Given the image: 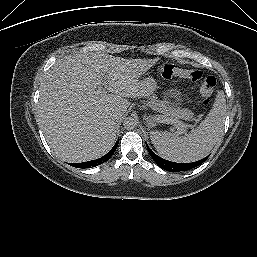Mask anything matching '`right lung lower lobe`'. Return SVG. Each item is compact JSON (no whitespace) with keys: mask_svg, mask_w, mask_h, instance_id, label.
<instances>
[{"mask_svg":"<svg viewBox=\"0 0 257 257\" xmlns=\"http://www.w3.org/2000/svg\"><path fill=\"white\" fill-rule=\"evenodd\" d=\"M118 143L119 142H116L115 146L111 149V151L108 152L106 155H104L103 157H101L99 159L88 161V162H83V163L70 164V165L73 166V167H76V168H91V167H95L97 165H100L103 162H105L108 159H110V157L115 152V150H116V148L118 146Z\"/></svg>","mask_w":257,"mask_h":257,"instance_id":"98d812e1","label":"right lung lower lobe"}]
</instances>
